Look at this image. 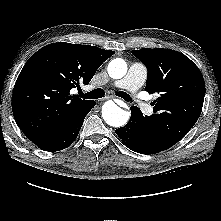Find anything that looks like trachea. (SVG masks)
Segmentation results:
<instances>
[{
  "label": "trachea",
  "mask_w": 221,
  "mask_h": 221,
  "mask_svg": "<svg viewBox=\"0 0 221 221\" xmlns=\"http://www.w3.org/2000/svg\"><path fill=\"white\" fill-rule=\"evenodd\" d=\"M105 92L103 89H95L93 91L87 92V93H80V97L85 99H98L104 97ZM117 96L123 98L125 101H131V97L126 92L119 91L116 93Z\"/></svg>",
  "instance_id": "trachea-1"
}]
</instances>
